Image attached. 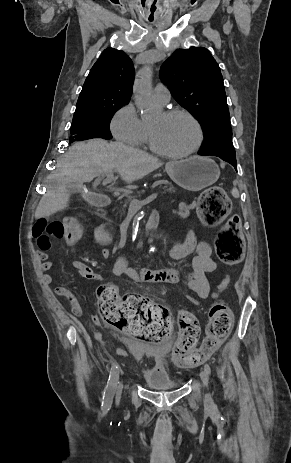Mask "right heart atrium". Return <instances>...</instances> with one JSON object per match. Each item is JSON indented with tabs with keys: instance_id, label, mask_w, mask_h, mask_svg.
<instances>
[{
	"instance_id": "1",
	"label": "right heart atrium",
	"mask_w": 291,
	"mask_h": 463,
	"mask_svg": "<svg viewBox=\"0 0 291 463\" xmlns=\"http://www.w3.org/2000/svg\"><path fill=\"white\" fill-rule=\"evenodd\" d=\"M110 129L118 141L131 146H139L147 138V128L131 102L115 112L110 122Z\"/></svg>"
}]
</instances>
